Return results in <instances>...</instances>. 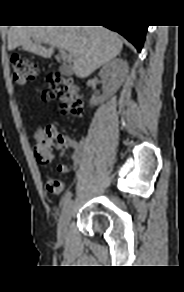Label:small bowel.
I'll list each match as a JSON object with an SVG mask.
<instances>
[{"instance_id":"c3829d8e","label":"small bowel","mask_w":184,"mask_h":292,"mask_svg":"<svg viewBox=\"0 0 184 292\" xmlns=\"http://www.w3.org/2000/svg\"><path fill=\"white\" fill-rule=\"evenodd\" d=\"M51 143L52 147L54 146L57 150L60 151V154L63 155L66 149H73L71 156V163H62L59 164L57 169L61 173H71L80 169L83 163V143L81 141L75 140L68 135L59 133L55 129H52L51 132Z\"/></svg>"}]
</instances>
